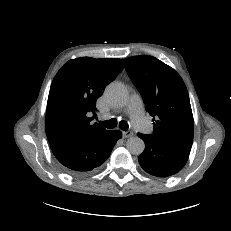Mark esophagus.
<instances>
[{"label": "esophagus", "instance_id": "1", "mask_svg": "<svg viewBox=\"0 0 231 231\" xmlns=\"http://www.w3.org/2000/svg\"><path fill=\"white\" fill-rule=\"evenodd\" d=\"M133 135V132L128 130V131H122V136L123 138H129Z\"/></svg>", "mask_w": 231, "mask_h": 231}]
</instances>
